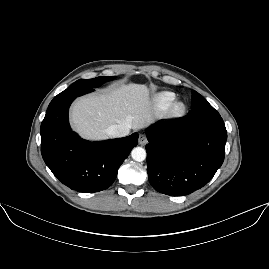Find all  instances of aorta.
<instances>
[{"label":"aorta","instance_id":"aorta-1","mask_svg":"<svg viewBox=\"0 0 269 269\" xmlns=\"http://www.w3.org/2000/svg\"><path fill=\"white\" fill-rule=\"evenodd\" d=\"M131 156L135 161L141 162L146 158V151L142 147H135L131 152Z\"/></svg>","mask_w":269,"mask_h":269}]
</instances>
